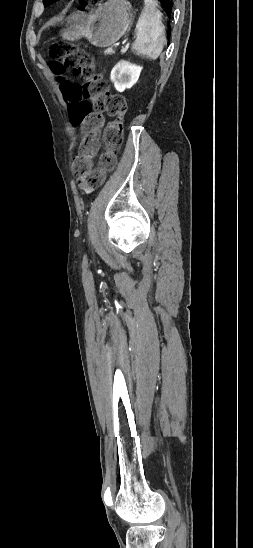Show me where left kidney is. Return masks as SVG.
<instances>
[{
    "instance_id": "obj_1",
    "label": "left kidney",
    "mask_w": 253,
    "mask_h": 548,
    "mask_svg": "<svg viewBox=\"0 0 253 548\" xmlns=\"http://www.w3.org/2000/svg\"><path fill=\"white\" fill-rule=\"evenodd\" d=\"M141 70L142 67L122 60L114 66L110 78L116 90L123 92L138 81Z\"/></svg>"
}]
</instances>
